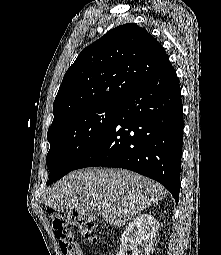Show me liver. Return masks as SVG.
Listing matches in <instances>:
<instances>
[{
	"instance_id": "liver-1",
	"label": "liver",
	"mask_w": 221,
	"mask_h": 255,
	"mask_svg": "<svg viewBox=\"0 0 221 255\" xmlns=\"http://www.w3.org/2000/svg\"><path fill=\"white\" fill-rule=\"evenodd\" d=\"M166 195L163 186L142 175L94 167L69 173L46 191L43 201L57 211L82 213L99 206L107 223L122 227Z\"/></svg>"
}]
</instances>
